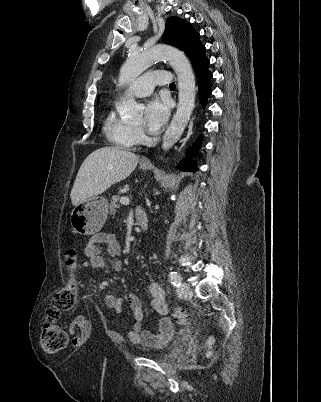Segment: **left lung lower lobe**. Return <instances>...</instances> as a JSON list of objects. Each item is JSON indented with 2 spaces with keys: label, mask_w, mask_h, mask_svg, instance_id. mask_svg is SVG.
I'll return each instance as SVG.
<instances>
[{
  "label": "left lung lower lobe",
  "mask_w": 321,
  "mask_h": 402,
  "mask_svg": "<svg viewBox=\"0 0 321 402\" xmlns=\"http://www.w3.org/2000/svg\"><path fill=\"white\" fill-rule=\"evenodd\" d=\"M190 60L196 72L200 99L205 103L206 99L211 94L209 81L212 78V74L208 70L209 60L205 55V46L202 44L198 45L190 55ZM196 149L197 146H194L189 152H194ZM179 169L195 172L197 170L196 162L190 159L183 160L179 164Z\"/></svg>",
  "instance_id": "left-lung-lower-lobe-1"
}]
</instances>
